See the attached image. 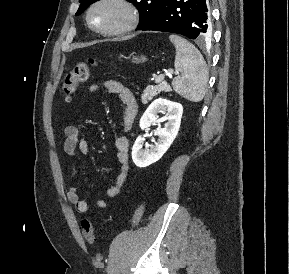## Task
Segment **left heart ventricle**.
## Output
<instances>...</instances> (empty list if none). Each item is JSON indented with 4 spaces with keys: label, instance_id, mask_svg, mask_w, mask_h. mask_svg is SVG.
I'll return each instance as SVG.
<instances>
[{
    "label": "left heart ventricle",
    "instance_id": "left-heart-ventricle-1",
    "mask_svg": "<svg viewBox=\"0 0 289 274\" xmlns=\"http://www.w3.org/2000/svg\"><path fill=\"white\" fill-rule=\"evenodd\" d=\"M125 18L122 8L113 4H105L97 7L91 14L93 25L100 29H112L120 25Z\"/></svg>",
    "mask_w": 289,
    "mask_h": 274
}]
</instances>
